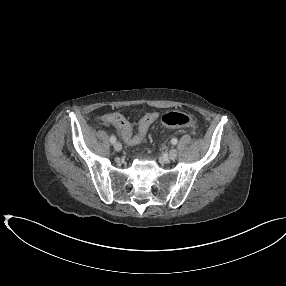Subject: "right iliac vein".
Wrapping results in <instances>:
<instances>
[{
    "label": "right iliac vein",
    "mask_w": 286,
    "mask_h": 286,
    "mask_svg": "<svg viewBox=\"0 0 286 286\" xmlns=\"http://www.w3.org/2000/svg\"><path fill=\"white\" fill-rule=\"evenodd\" d=\"M114 148L116 151H121L122 150V145L119 141L114 143Z\"/></svg>",
    "instance_id": "obj_1"
}]
</instances>
